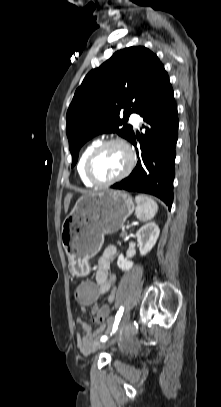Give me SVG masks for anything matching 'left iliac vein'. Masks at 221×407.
Wrapping results in <instances>:
<instances>
[{
    "label": "left iliac vein",
    "mask_w": 221,
    "mask_h": 407,
    "mask_svg": "<svg viewBox=\"0 0 221 407\" xmlns=\"http://www.w3.org/2000/svg\"><path fill=\"white\" fill-rule=\"evenodd\" d=\"M130 317H131V313H130L129 311L126 312V313L123 315V317H122V319H121V321H120L119 329H118V330H123V329L127 326V324H128L129 321H130Z\"/></svg>",
    "instance_id": "4c4485c4"
}]
</instances>
